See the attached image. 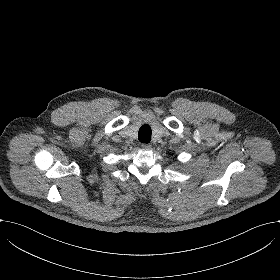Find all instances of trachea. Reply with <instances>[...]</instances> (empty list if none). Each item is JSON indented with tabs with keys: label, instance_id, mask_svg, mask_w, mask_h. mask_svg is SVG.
<instances>
[{
	"label": "trachea",
	"instance_id": "1",
	"mask_svg": "<svg viewBox=\"0 0 280 280\" xmlns=\"http://www.w3.org/2000/svg\"><path fill=\"white\" fill-rule=\"evenodd\" d=\"M152 130L148 124H144L139 129L138 138L142 143H149L151 140Z\"/></svg>",
	"mask_w": 280,
	"mask_h": 280
}]
</instances>
